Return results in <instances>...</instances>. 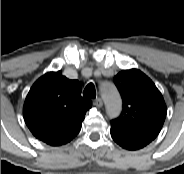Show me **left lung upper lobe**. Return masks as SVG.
Instances as JSON below:
<instances>
[{
    "mask_svg": "<svg viewBox=\"0 0 184 174\" xmlns=\"http://www.w3.org/2000/svg\"><path fill=\"white\" fill-rule=\"evenodd\" d=\"M123 101L121 115L111 126L135 136L155 139L167 113L164 99L155 84L137 69L122 70L114 77Z\"/></svg>",
    "mask_w": 184,
    "mask_h": 174,
    "instance_id": "left-lung-upper-lobe-1",
    "label": "left lung upper lobe"
}]
</instances>
